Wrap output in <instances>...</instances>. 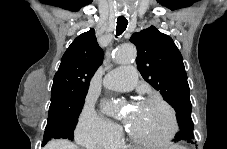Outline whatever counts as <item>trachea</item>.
<instances>
[{"mask_svg":"<svg viewBox=\"0 0 227 149\" xmlns=\"http://www.w3.org/2000/svg\"><path fill=\"white\" fill-rule=\"evenodd\" d=\"M128 21L117 19V26H116V35H121L127 28Z\"/></svg>","mask_w":227,"mask_h":149,"instance_id":"3493384b","label":"trachea"}]
</instances>
